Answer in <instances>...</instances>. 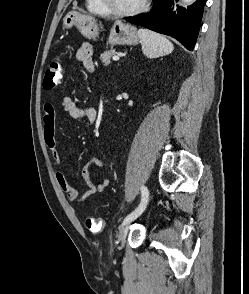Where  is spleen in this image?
<instances>
[{
	"label": "spleen",
	"mask_w": 249,
	"mask_h": 294,
	"mask_svg": "<svg viewBox=\"0 0 249 294\" xmlns=\"http://www.w3.org/2000/svg\"><path fill=\"white\" fill-rule=\"evenodd\" d=\"M141 39L142 51L148 58H157L170 54L174 46L163 35L148 29L141 28L138 31Z\"/></svg>",
	"instance_id": "spleen-1"
}]
</instances>
